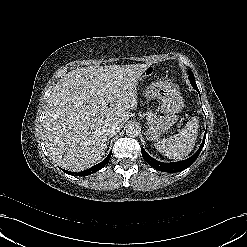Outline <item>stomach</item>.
<instances>
[{"label": "stomach", "instance_id": "obj_1", "mask_svg": "<svg viewBox=\"0 0 247 247\" xmlns=\"http://www.w3.org/2000/svg\"><path fill=\"white\" fill-rule=\"evenodd\" d=\"M145 96L149 99H157L160 103V111L173 115L182 109V99L176 86L168 81H157L152 83L146 90ZM170 126V121L161 122L156 125H149L147 136L151 140H159Z\"/></svg>", "mask_w": 247, "mask_h": 247}]
</instances>
